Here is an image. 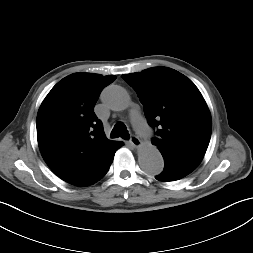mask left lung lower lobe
<instances>
[{"label": "left lung lower lobe", "instance_id": "obj_1", "mask_svg": "<svg viewBox=\"0 0 253 253\" xmlns=\"http://www.w3.org/2000/svg\"><path fill=\"white\" fill-rule=\"evenodd\" d=\"M164 163L165 167L163 172L155 177L159 181H175L181 179L190 174L198 166L192 162L166 158H164Z\"/></svg>", "mask_w": 253, "mask_h": 253}]
</instances>
